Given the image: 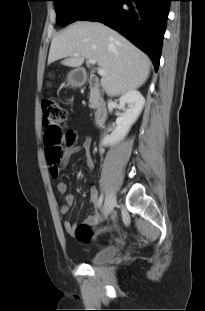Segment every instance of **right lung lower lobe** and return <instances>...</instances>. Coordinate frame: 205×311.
<instances>
[{"label":"right lung lower lobe","mask_w":205,"mask_h":311,"mask_svg":"<svg viewBox=\"0 0 205 311\" xmlns=\"http://www.w3.org/2000/svg\"><path fill=\"white\" fill-rule=\"evenodd\" d=\"M171 0H101L79 20L104 23L129 39L159 66Z\"/></svg>","instance_id":"obj_1"}]
</instances>
